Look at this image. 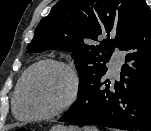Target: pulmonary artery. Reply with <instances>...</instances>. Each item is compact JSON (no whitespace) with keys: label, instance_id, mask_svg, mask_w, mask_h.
I'll return each mask as SVG.
<instances>
[{"label":"pulmonary artery","instance_id":"pulmonary-artery-1","mask_svg":"<svg viewBox=\"0 0 151 131\" xmlns=\"http://www.w3.org/2000/svg\"><path fill=\"white\" fill-rule=\"evenodd\" d=\"M121 63H122L121 55H119V54L113 55V57H112V59H111V61L109 63V66H110L111 71L114 74H117L119 72Z\"/></svg>","mask_w":151,"mask_h":131}]
</instances>
